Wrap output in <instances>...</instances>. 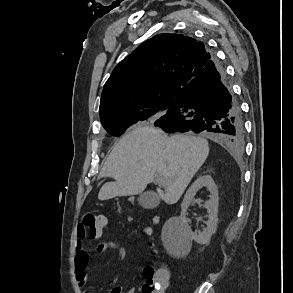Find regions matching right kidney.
Segmentation results:
<instances>
[{
	"label": "right kidney",
	"instance_id": "ca27d5eb",
	"mask_svg": "<svg viewBox=\"0 0 293 293\" xmlns=\"http://www.w3.org/2000/svg\"><path fill=\"white\" fill-rule=\"evenodd\" d=\"M203 187H206L210 192V199L204 203V207L208 212V221L206 222V228L202 232H193L188 225L186 220V211L190 203L194 200L197 191ZM218 189L210 175L200 176L187 190L184 200L181 205V215L177 219L179 234L183 236V242L185 247H190V242L192 240L199 244H207L210 242L212 235L216 232L218 223ZM181 243V240L178 241ZM165 246L167 249H172L170 242L165 241Z\"/></svg>",
	"mask_w": 293,
	"mask_h": 293
}]
</instances>
